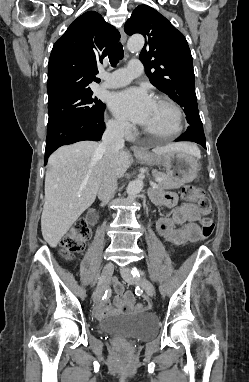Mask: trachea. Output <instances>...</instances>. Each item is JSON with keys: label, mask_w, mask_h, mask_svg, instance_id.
<instances>
[{"label": "trachea", "mask_w": 249, "mask_h": 382, "mask_svg": "<svg viewBox=\"0 0 249 382\" xmlns=\"http://www.w3.org/2000/svg\"><path fill=\"white\" fill-rule=\"evenodd\" d=\"M123 47L121 43H118L114 46V48L109 53V61L110 64L114 67L118 63L119 60L123 58Z\"/></svg>", "instance_id": "3493384b"}]
</instances>
